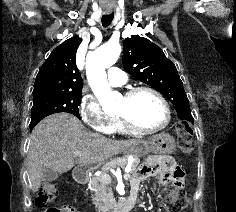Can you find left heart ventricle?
I'll use <instances>...</instances> for the list:
<instances>
[{"mask_svg": "<svg viewBox=\"0 0 236 212\" xmlns=\"http://www.w3.org/2000/svg\"><path fill=\"white\" fill-rule=\"evenodd\" d=\"M117 114H127L139 127L151 129L164 123L166 111L161 101L151 93L141 92L131 100L119 102Z\"/></svg>", "mask_w": 236, "mask_h": 212, "instance_id": "b2bd125f", "label": "left heart ventricle"}]
</instances>
